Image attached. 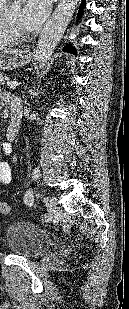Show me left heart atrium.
I'll list each match as a JSON object with an SVG mask.
<instances>
[{
  "label": "left heart atrium",
  "instance_id": "obj_1",
  "mask_svg": "<svg viewBox=\"0 0 129 309\" xmlns=\"http://www.w3.org/2000/svg\"><path fill=\"white\" fill-rule=\"evenodd\" d=\"M48 13L47 0H26L21 16L26 29H36Z\"/></svg>",
  "mask_w": 129,
  "mask_h": 309
}]
</instances>
